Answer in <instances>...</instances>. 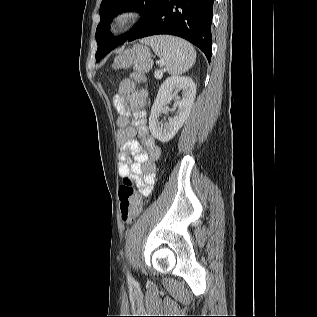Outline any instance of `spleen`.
<instances>
[{"instance_id":"obj_1","label":"spleen","mask_w":317,"mask_h":317,"mask_svg":"<svg viewBox=\"0 0 317 317\" xmlns=\"http://www.w3.org/2000/svg\"><path fill=\"white\" fill-rule=\"evenodd\" d=\"M160 57L168 73L179 75L188 71L195 62L196 52L187 41L173 36H155L142 40Z\"/></svg>"}]
</instances>
